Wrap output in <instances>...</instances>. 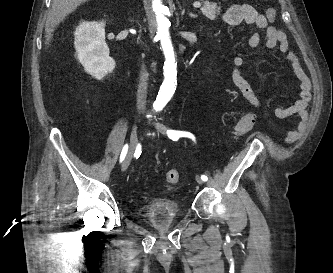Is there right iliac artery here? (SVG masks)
<instances>
[{"label":"right iliac artery","instance_id":"82829eb1","mask_svg":"<svg viewBox=\"0 0 333 273\" xmlns=\"http://www.w3.org/2000/svg\"><path fill=\"white\" fill-rule=\"evenodd\" d=\"M128 151V144L124 145L121 155H120V162H122L125 159V156L127 154Z\"/></svg>","mask_w":333,"mask_h":273}]
</instances>
